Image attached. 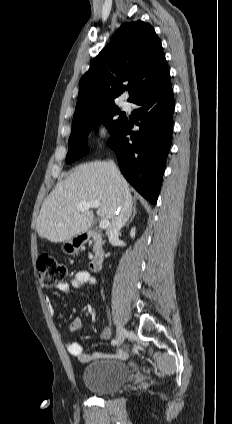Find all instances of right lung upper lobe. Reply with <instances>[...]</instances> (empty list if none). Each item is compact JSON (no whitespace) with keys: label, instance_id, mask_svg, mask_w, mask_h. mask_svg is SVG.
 Wrapping results in <instances>:
<instances>
[{"label":"right lung upper lobe","instance_id":"obj_1","mask_svg":"<svg viewBox=\"0 0 232 424\" xmlns=\"http://www.w3.org/2000/svg\"><path fill=\"white\" fill-rule=\"evenodd\" d=\"M167 71L161 41L153 27L142 21L124 23L80 79L74 118L114 106L125 91L123 82H129L128 101L134 102L156 86Z\"/></svg>","mask_w":232,"mask_h":424}]
</instances>
